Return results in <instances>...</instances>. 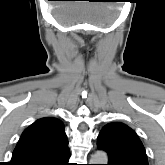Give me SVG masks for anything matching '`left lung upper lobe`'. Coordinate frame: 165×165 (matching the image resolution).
<instances>
[{"mask_svg":"<svg viewBox=\"0 0 165 165\" xmlns=\"http://www.w3.org/2000/svg\"><path fill=\"white\" fill-rule=\"evenodd\" d=\"M97 147L108 153V165H148L142 142L123 123L112 122L105 125L98 136Z\"/></svg>","mask_w":165,"mask_h":165,"instance_id":"5c2ea615","label":"left lung upper lobe"}]
</instances>
